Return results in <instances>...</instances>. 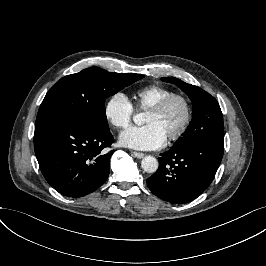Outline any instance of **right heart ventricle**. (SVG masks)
Here are the masks:
<instances>
[{
  "label": "right heart ventricle",
  "mask_w": 266,
  "mask_h": 266,
  "mask_svg": "<svg viewBox=\"0 0 266 266\" xmlns=\"http://www.w3.org/2000/svg\"><path fill=\"white\" fill-rule=\"evenodd\" d=\"M171 93L174 92L169 87L161 84H150L137 88L133 98L138 108L148 109Z\"/></svg>",
  "instance_id": "right-heart-ventricle-1"
}]
</instances>
